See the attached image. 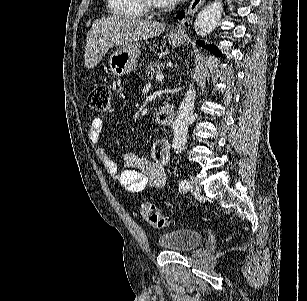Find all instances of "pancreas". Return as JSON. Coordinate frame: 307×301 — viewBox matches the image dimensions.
I'll use <instances>...</instances> for the list:
<instances>
[{"instance_id":"obj_1","label":"pancreas","mask_w":307,"mask_h":301,"mask_svg":"<svg viewBox=\"0 0 307 301\" xmlns=\"http://www.w3.org/2000/svg\"><path fill=\"white\" fill-rule=\"evenodd\" d=\"M164 64L162 62H150L145 70L148 78H154L155 74H161Z\"/></svg>"}]
</instances>
